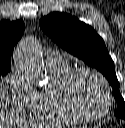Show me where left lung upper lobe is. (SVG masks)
<instances>
[{"label":"left lung upper lobe","mask_w":125,"mask_h":128,"mask_svg":"<svg viewBox=\"0 0 125 128\" xmlns=\"http://www.w3.org/2000/svg\"><path fill=\"white\" fill-rule=\"evenodd\" d=\"M42 30L60 47L99 70L113 87L114 97L121 106L115 116L125 119V102L119 91L114 62L103 39L95 30L66 13L53 12L40 19Z\"/></svg>","instance_id":"left-lung-upper-lobe-1"}]
</instances>
